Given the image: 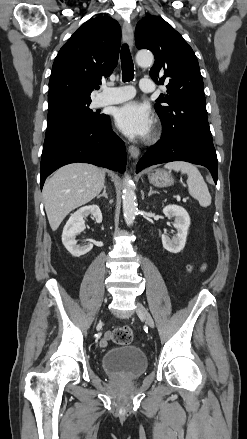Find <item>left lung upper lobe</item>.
Here are the masks:
<instances>
[{
  "mask_svg": "<svg viewBox=\"0 0 247 439\" xmlns=\"http://www.w3.org/2000/svg\"><path fill=\"white\" fill-rule=\"evenodd\" d=\"M135 40L138 49L146 48L154 54L151 78L157 84H167V94H161L155 105L163 131L212 141L203 80L192 48L158 16L145 17L137 24Z\"/></svg>",
  "mask_w": 247,
  "mask_h": 439,
  "instance_id": "1",
  "label": "left lung upper lobe"
}]
</instances>
